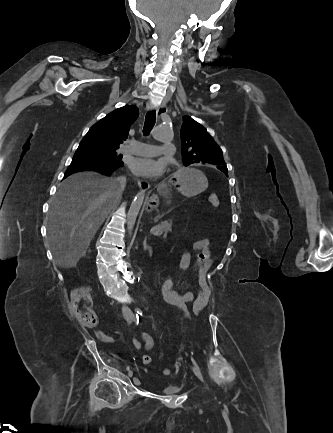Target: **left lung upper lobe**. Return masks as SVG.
I'll return each mask as SVG.
<instances>
[{
    "mask_svg": "<svg viewBox=\"0 0 333 433\" xmlns=\"http://www.w3.org/2000/svg\"><path fill=\"white\" fill-rule=\"evenodd\" d=\"M181 143L182 160L185 166L198 163L213 164L228 175L220 147L206 129L190 116L183 117Z\"/></svg>",
    "mask_w": 333,
    "mask_h": 433,
    "instance_id": "1",
    "label": "left lung upper lobe"
}]
</instances>
